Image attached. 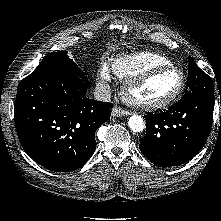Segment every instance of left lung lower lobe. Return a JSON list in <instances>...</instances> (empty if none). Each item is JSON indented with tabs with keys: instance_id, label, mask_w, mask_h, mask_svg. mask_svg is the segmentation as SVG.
<instances>
[{
	"instance_id": "1",
	"label": "left lung lower lobe",
	"mask_w": 221,
	"mask_h": 221,
	"mask_svg": "<svg viewBox=\"0 0 221 221\" xmlns=\"http://www.w3.org/2000/svg\"><path fill=\"white\" fill-rule=\"evenodd\" d=\"M214 97L191 94L168 110L145 115V137L140 150L160 167L179 166L194 156L206 143L213 119Z\"/></svg>"
}]
</instances>
